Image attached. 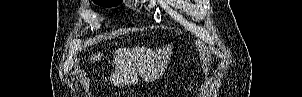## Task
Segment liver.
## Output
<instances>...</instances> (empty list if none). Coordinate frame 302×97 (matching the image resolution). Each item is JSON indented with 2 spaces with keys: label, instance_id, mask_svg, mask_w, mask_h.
Here are the masks:
<instances>
[{
  "label": "liver",
  "instance_id": "obj_1",
  "mask_svg": "<svg viewBox=\"0 0 302 97\" xmlns=\"http://www.w3.org/2000/svg\"><path fill=\"white\" fill-rule=\"evenodd\" d=\"M172 45H168L164 50L157 51L159 56H155V51L145 47H133L120 48L115 51L112 65L115 66V70L111 73L110 80L117 86L121 84L129 85L133 83L136 72L142 77L147 76L145 70L148 68L153 69L154 77L160 75L163 71L165 63L161 60L168 58V54L171 52ZM162 53V55H160ZM103 55L101 53L93 54L90 61H100Z\"/></svg>",
  "mask_w": 302,
  "mask_h": 97
}]
</instances>
